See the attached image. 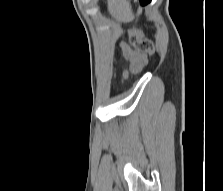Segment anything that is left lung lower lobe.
<instances>
[{"mask_svg": "<svg viewBox=\"0 0 223 191\" xmlns=\"http://www.w3.org/2000/svg\"><path fill=\"white\" fill-rule=\"evenodd\" d=\"M140 2H141L142 5H145L149 2H151V0H140Z\"/></svg>", "mask_w": 223, "mask_h": 191, "instance_id": "1", "label": "left lung lower lobe"}]
</instances>
